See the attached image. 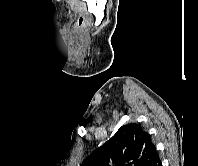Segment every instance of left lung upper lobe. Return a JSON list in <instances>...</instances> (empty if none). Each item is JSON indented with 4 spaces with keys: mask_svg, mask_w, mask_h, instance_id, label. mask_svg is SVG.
<instances>
[{
    "mask_svg": "<svg viewBox=\"0 0 198 166\" xmlns=\"http://www.w3.org/2000/svg\"><path fill=\"white\" fill-rule=\"evenodd\" d=\"M156 155L150 135L139 125L131 123L120 127L81 166H150Z\"/></svg>",
    "mask_w": 198,
    "mask_h": 166,
    "instance_id": "left-lung-upper-lobe-1",
    "label": "left lung upper lobe"
}]
</instances>
